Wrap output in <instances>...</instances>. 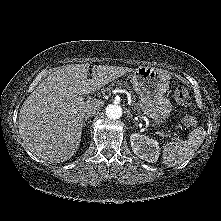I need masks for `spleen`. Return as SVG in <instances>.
<instances>
[{"label": "spleen", "instance_id": "1", "mask_svg": "<svg viewBox=\"0 0 221 221\" xmlns=\"http://www.w3.org/2000/svg\"><path fill=\"white\" fill-rule=\"evenodd\" d=\"M205 134V130L198 127L190 133L187 140L167 143L163 148V164L172 166L189 159L202 144Z\"/></svg>", "mask_w": 221, "mask_h": 221}]
</instances>
